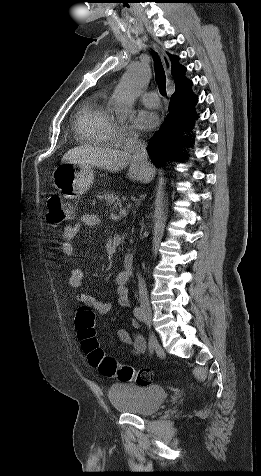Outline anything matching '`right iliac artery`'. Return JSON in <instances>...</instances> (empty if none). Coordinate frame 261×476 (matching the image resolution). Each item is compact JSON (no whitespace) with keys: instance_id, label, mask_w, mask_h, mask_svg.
Returning a JSON list of instances; mask_svg holds the SVG:
<instances>
[{"instance_id":"1","label":"right iliac artery","mask_w":261,"mask_h":476,"mask_svg":"<svg viewBox=\"0 0 261 476\" xmlns=\"http://www.w3.org/2000/svg\"><path fill=\"white\" fill-rule=\"evenodd\" d=\"M133 313H134V316H135L138 320H140V321H143V320H144L145 316H144V311H143L142 308H140V307H135ZM154 342H155L154 339H152V338L150 337V338H149V349H150V353L153 352Z\"/></svg>"}]
</instances>
